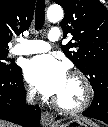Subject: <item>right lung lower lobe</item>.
<instances>
[{"label": "right lung lower lobe", "instance_id": "1", "mask_svg": "<svg viewBox=\"0 0 108 127\" xmlns=\"http://www.w3.org/2000/svg\"><path fill=\"white\" fill-rule=\"evenodd\" d=\"M26 92L22 71L0 70V119L24 127H39L41 111L38 106L25 105Z\"/></svg>", "mask_w": 108, "mask_h": 127}]
</instances>
